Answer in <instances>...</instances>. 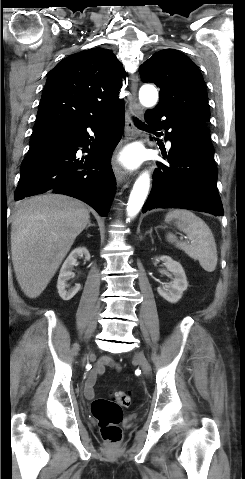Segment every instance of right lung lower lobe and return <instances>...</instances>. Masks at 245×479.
<instances>
[{
  "label": "right lung lower lobe",
  "mask_w": 245,
  "mask_h": 479,
  "mask_svg": "<svg viewBox=\"0 0 245 479\" xmlns=\"http://www.w3.org/2000/svg\"><path fill=\"white\" fill-rule=\"evenodd\" d=\"M107 122L105 132L99 131ZM123 126L124 109H120L56 125L32 137L14 199L49 191L80 199L107 216L116 188L110 159ZM87 128L97 136L94 140ZM81 147L88 155L80 157Z\"/></svg>",
  "instance_id": "1"
}]
</instances>
